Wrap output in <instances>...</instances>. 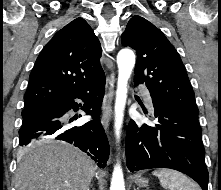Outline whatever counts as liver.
Listing matches in <instances>:
<instances>
[{"mask_svg": "<svg viewBox=\"0 0 221 190\" xmlns=\"http://www.w3.org/2000/svg\"><path fill=\"white\" fill-rule=\"evenodd\" d=\"M95 169L90 157L73 145L36 142L21 151L15 186L17 190H89Z\"/></svg>", "mask_w": 221, "mask_h": 190, "instance_id": "6515ba94", "label": "liver"}]
</instances>
